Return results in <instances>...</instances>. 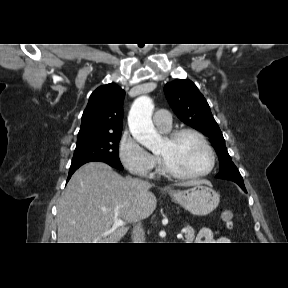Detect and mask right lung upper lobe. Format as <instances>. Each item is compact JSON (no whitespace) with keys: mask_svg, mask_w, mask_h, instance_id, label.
Instances as JSON below:
<instances>
[{"mask_svg":"<svg viewBox=\"0 0 288 288\" xmlns=\"http://www.w3.org/2000/svg\"><path fill=\"white\" fill-rule=\"evenodd\" d=\"M124 95V90L114 83L98 87L91 94L82 115L77 141L120 133L123 122Z\"/></svg>","mask_w":288,"mask_h":288,"instance_id":"obj_1","label":"right lung upper lobe"}]
</instances>
